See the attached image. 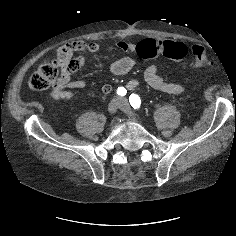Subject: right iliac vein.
Returning a JSON list of instances; mask_svg holds the SVG:
<instances>
[{
  "mask_svg": "<svg viewBox=\"0 0 236 236\" xmlns=\"http://www.w3.org/2000/svg\"><path fill=\"white\" fill-rule=\"evenodd\" d=\"M121 106V102L118 99H113L108 105V112L114 114Z\"/></svg>",
  "mask_w": 236,
  "mask_h": 236,
  "instance_id": "obj_1",
  "label": "right iliac vein"
}]
</instances>
